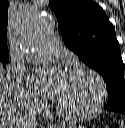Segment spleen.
<instances>
[{"mask_svg": "<svg viewBox=\"0 0 125 128\" xmlns=\"http://www.w3.org/2000/svg\"><path fill=\"white\" fill-rule=\"evenodd\" d=\"M121 128H125L124 122L121 123Z\"/></svg>", "mask_w": 125, "mask_h": 128, "instance_id": "spleen-1", "label": "spleen"}]
</instances>
